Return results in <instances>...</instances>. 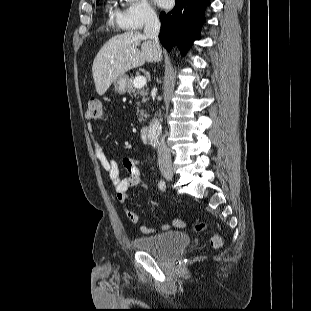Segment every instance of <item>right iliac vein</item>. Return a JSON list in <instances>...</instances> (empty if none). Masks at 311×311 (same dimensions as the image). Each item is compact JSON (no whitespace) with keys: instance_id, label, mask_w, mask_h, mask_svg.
Masks as SVG:
<instances>
[{"instance_id":"63e3f726","label":"right iliac vein","mask_w":311,"mask_h":311,"mask_svg":"<svg viewBox=\"0 0 311 311\" xmlns=\"http://www.w3.org/2000/svg\"><path fill=\"white\" fill-rule=\"evenodd\" d=\"M161 173L168 181H172L173 180L174 174H173V170H172L171 167L161 168Z\"/></svg>"}]
</instances>
